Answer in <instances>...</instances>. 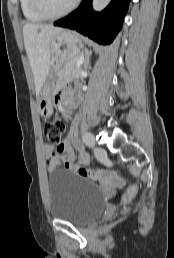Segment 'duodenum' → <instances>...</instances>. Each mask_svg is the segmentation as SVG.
<instances>
[{"mask_svg":"<svg viewBox=\"0 0 174 258\" xmlns=\"http://www.w3.org/2000/svg\"><path fill=\"white\" fill-rule=\"evenodd\" d=\"M77 104H78V98H77V97H74V98L72 99V105L75 106V105H77Z\"/></svg>","mask_w":174,"mask_h":258,"instance_id":"410a0bca","label":"duodenum"}]
</instances>
